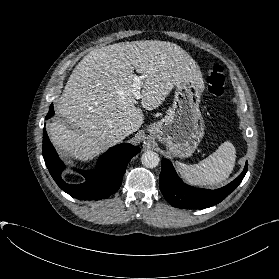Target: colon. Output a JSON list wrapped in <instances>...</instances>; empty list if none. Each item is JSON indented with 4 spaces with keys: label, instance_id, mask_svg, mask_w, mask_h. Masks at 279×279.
<instances>
[{
    "label": "colon",
    "instance_id": "1",
    "mask_svg": "<svg viewBox=\"0 0 279 279\" xmlns=\"http://www.w3.org/2000/svg\"><path fill=\"white\" fill-rule=\"evenodd\" d=\"M207 88L210 94L219 97L224 93L225 73L221 65L215 64L206 74Z\"/></svg>",
    "mask_w": 279,
    "mask_h": 279
}]
</instances>
